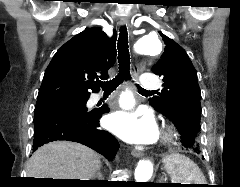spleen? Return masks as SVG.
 Masks as SVG:
<instances>
[{
    "mask_svg": "<svg viewBox=\"0 0 240 187\" xmlns=\"http://www.w3.org/2000/svg\"><path fill=\"white\" fill-rule=\"evenodd\" d=\"M165 169L174 183L205 184L206 180L199 167L181 154H171L165 160Z\"/></svg>",
    "mask_w": 240,
    "mask_h": 187,
    "instance_id": "obj_1",
    "label": "spleen"
}]
</instances>
